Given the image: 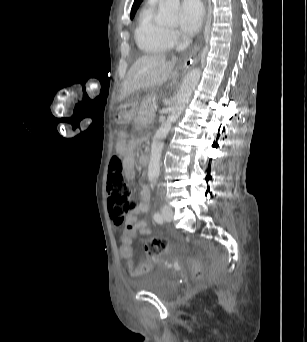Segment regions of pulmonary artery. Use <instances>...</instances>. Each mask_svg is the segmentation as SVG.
Instances as JSON below:
<instances>
[{
	"mask_svg": "<svg viewBox=\"0 0 307 342\" xmlns=\"http://www.w3.org/2000/svg\"><path fill=\"white\" fill-rule=\"evenodd\" d=\"M149 4H150V8L147 12H150V11H153L154 8L157 6V4L160 2V1H148Z\"/></svg>",
	"mask_w": 307,
	"mask_h": 342,
	"instance_id": "obj_1",
	"label": "pulmonary artery"
}]
</instances>
